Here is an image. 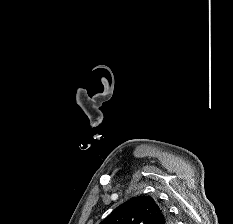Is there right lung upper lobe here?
Listing matches in <instances>:
<instances>
[{"instance_id": "cb5924a9", "label": "right lung upper lobe", "mask_w": 233, "mask_h": 224, "mask_svg": "<svg viewBox=\"0 0 233 224\" xmlns=\"http://www.w3.org/2000/svg\"><path fill=\"white\" fill-rule=\"evenodd\" d=\"M167 212L152 197L139 196L118 206L100 224H168Z\"/></svg>"}]
</instances>
